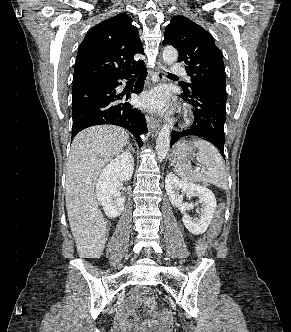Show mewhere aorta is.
Instances as JSON below:
<instances>
[{
    "label": "aorta",
    "mask_w": 291,
    "mask_h": 332,
    "mask_svg": "<svg viewBox=\"0 0 291 332\" xmlns=\"http://www.w3.org/2000/svg\"><path fill=\"white\" fill-rule=\"evenodd\" d=\"M162 58L164 63L171 65L178 59V52L171 46H166L163 50ZM170 147V129L168 125H164L159 132L156 140V154L158 160L165 159L169 152Z\"/></svg>",
    "instance_id": "aorta-1"
}]
</instances>
